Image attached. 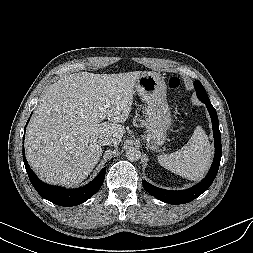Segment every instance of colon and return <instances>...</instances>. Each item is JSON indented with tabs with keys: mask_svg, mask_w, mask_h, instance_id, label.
<instances>
[{
	"mask_svg": "<svg viewBox=\"0 0 253 253\" xmlns=\"http://www.w3.org/2000/svg\"><path fill=\"white\" fill-rule=\"evenodd\" d=\"M180 85V80L176 77H172L170 80H169V87L171 89H177Z\"/></svg>",
	"mask_w": 253,
	"mask_h": 253,
	"instance_id": "colon-1",
	"label": "colon"
}]
</instances>
